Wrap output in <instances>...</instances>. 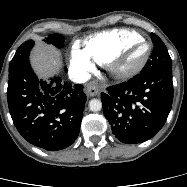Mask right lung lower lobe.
Here are the masks:
<instances>
[{
  "label": "right lung lower lobe",
  "mask_w": 187,
  "mask_h": 187,
  "mask_svg": "<svg viewBox=\"0 0 187 187\" xmlns=\"http://www.w3.org/2000/svg\"><path fill=\"white\" fill-rule=\"evenodd\" d=\"M33 45L32 40L24 42L10 62L8 107L15 127L29 143L61 150L79 135L86 95L82 85L61 77L39 79L29 64Z\"/></svg>",
  "instance_id": "right-lung-lower-lobe-1"
}]
</instances>
